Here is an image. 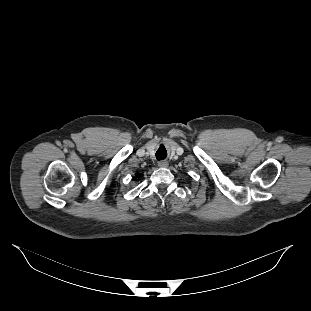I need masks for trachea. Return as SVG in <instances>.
I'll return each instance as SVG.
<instances>
[{
    "label": "trachea",
    "instance_id": "1",
    "mask_svg": "<svg viewBox=\"0 0 311 311\" xmlns=\"http://www.w3.org/2000/svg\"><path fill=\"white\" fill-rule=\"evenodd\" d=\"M163 151H165V153H163ZM166 155H167L166 149H165L163 146H161V147L158 149V151L156 152V158H157V160L165 159V158H166Z\"/></svg>",
    "mask_w": 311,
    "mask_h": 311
}]
</instances>
